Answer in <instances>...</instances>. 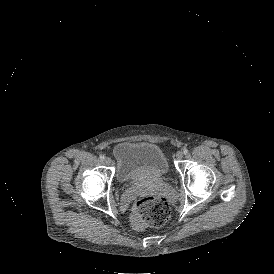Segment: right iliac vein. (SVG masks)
<instances>
[{"label": "right iliac vein", "mask_w": 274, "mask_h": 274, "mask_svg": "<svg viewBox=\"0 0 274 274\" xmlns=\"http://www.w3.org/2000/svg\"><path fill=\"white\" fill-rule=\"evenodd\" d=\"M111 162H112V161H111V159H110V158H106V159H105V163H106L107 165H110V164H111Z\"/></svg>", "instance_id": "obj_1"}]
</instances>
